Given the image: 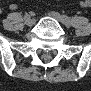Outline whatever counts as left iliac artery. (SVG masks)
I'll use <instances>...</instances> for the list:
<instances>
[{
    "label": "left iliac artery",
    "mask_w": 91,
    "mask_h": 91,
    "mask_svg": "<svg viewBox=\"0 0 91 91\" xmlns=\"http://www.w3.org/2000/svg\"><path fill=\"white\" fill-rule=\"evenodd\" d=\"M63 18H64V20H65V23L67 24V25H69L70 24V18L68 17V16H66V15H63Z\"/></svg>",
    "instance_id": "left-iliac-artery-1"
}]
</instances>
